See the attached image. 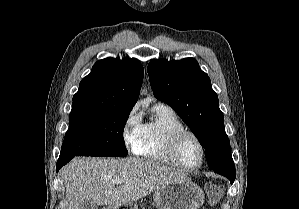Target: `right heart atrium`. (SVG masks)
Instances as JSON below:
<instances>
[{
	"label": "right heart atrium",
	"instance_id": "d8ad5b80",
	"mask_svg": "<svg viewBox=\"0 0 299 209\" xmlns=\"http://www.w3.org/2000/svg\"><path fill=\"white\" fill-rule=\"evenodd\" d=\"M141 120L137 109L134 107L127 114L122 126V139L125 146L134 151L139 139Z\"/></svg>",
	"mask_w": 299,
	"mask_h": 209
}]
</instances>
